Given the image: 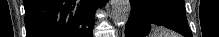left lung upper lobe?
I'll return each instance as SVG.
<instances>
[{
	"mask_svg": "<svg viewBox=\"0 0 219 37\" xmlns=\"http://www.w3.org/2000/svg\"><path fill=\"white\" fill-rule=\"evenodd\" d=\"M185 11L184 0H170Z\"/></svg>",
	"mask_w": 219,
	"mask_h": 37,
	"instance_id": "1",
	"label": "left lung upper lobe"
}]
</instances>
